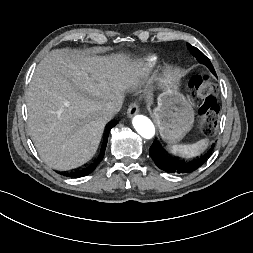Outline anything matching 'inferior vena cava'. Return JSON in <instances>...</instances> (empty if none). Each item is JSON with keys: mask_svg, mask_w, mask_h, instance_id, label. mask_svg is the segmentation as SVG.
<instances>
[{"mask_svg": "<svg viewBox=\"0 0 253 253\" xmlns=\"http://www.w3.org/2000/svg\"><path fill=\"white\" fill-rule=\"evenodd\" d=\"M122 104L123 99L107 103L104 108L105 117L110 120L115 114H117L120 111Z\"/></svg>", "mask_w": 253, "mask_h": 253, "instance_id": "602c4592", "label": "inferior vena cava"}]
</instances>
